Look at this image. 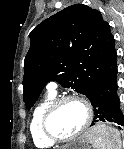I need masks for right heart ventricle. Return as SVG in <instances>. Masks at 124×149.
<instances>
[{"label":"right heart ventricle","mask_w":124,"mask_h":149,"mask_svg":"<svg viewBox=\"0 0 124 149\" xmlns=\"http://www.w3.org/2000/svg\"><path fill=\"white\" fill-rule=\"evenodd\" d=\"M55 100V93H49L39 102L32 112L29 123V130L34 144L39 148L52 147L55 142L49 140L42 131V120L49 105Z\"/></svg>","instance_id":"right-heart-ventricle-1"}]
</instances>
